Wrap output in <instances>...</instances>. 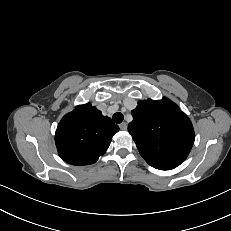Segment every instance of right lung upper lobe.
Instances as JSON below:
<instances>
[{"mask_svg": "<svg viewBox=\"0 0 231 231\" xmlns=\"http://www.w3.org/2000/svg\"><path fill=\"white\" fill-rule=\"evenodd\" d=\"M118 125L90 103L77 106L58 124L55 142L59 156L72 165L93 164L108 149Z\"/></svg>", "mask_w": 231, "mask_h": 231, "instance_id": "right-lung-upper-lobe-1", "label": "right lung upper lobe"}]
</instances>
